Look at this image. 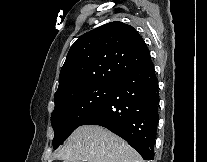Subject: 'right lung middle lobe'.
<instances>
[{
    "mask_svg": "<svg viewBox=\"0 0 207 162\" xmlns=\"http://www.w3.org/2000/svg\"><path fill=\"white\" fill-rule=\"evenodd\" d=\"M115 84L94 85L62 94L55 98L51 114L54 129L53 147L63 141L93 113L112 93Z\"/></svg>",
    "mask_w": 207,
    "mask_h": 162,
    "instance_id": "right-lung-middle-lobe-1",
    "label": "right lung middle lobe"
}]
</instances>
